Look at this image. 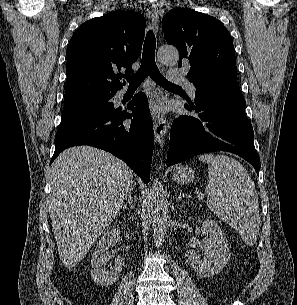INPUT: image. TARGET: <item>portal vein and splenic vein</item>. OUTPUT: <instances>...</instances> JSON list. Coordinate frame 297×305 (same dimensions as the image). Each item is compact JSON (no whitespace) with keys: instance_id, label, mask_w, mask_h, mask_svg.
Masks as SVG:
<instances>
[{"instance_id":"18ae733b","label":"portal vein and splenic vein","mask_w":297,"mask_h":305,"mask_svg":"<svg viewBox=\"0 0 297 305\" xmlns=\"http://www.w3.org/2000/svg\"><path fill=\"white\" fill-rule=\"evenodd\" d=\"M197 196H198V199H203V198H204V194H203V193H201V192H200V193H198V195H197Z\"/></svg>"}]
</instances>
